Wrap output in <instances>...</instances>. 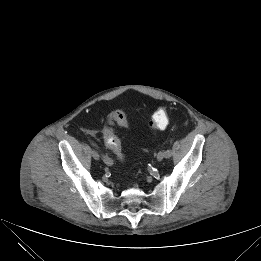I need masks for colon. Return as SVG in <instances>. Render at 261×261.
I'll return each instance as SVG.
<instances>
[{"mask_svg":"<svg viewBox=\"0 0 261 261\" xmlns=\"http://www.w3.org/2000/svg\"><path fill=\"white\" fill-rule=\"evenodd\" d=\"M127 128L129 126L125 113L121 110L113 111L103 128V138L107 147L116 155L119 160L124 159L120 139L114 131V124ZM169 124V114L165 107L155 110L149 122V127L154 131L164 130Z\"/></svg>","mask_w":261,"mask_h":261,"instance_id":"1","label":"colon"}]
</instances>
